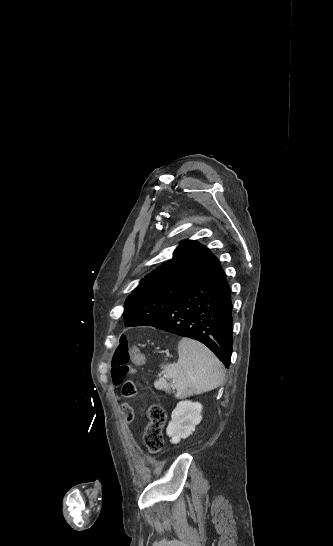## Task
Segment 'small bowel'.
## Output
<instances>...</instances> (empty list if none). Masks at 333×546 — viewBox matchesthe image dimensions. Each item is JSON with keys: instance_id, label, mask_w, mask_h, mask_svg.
Listing matches in <instances>:
<instances>
[{"instance_id": "obj_1", "label": "small bowel", "mask_w": 333, "mask_h": 546, "mask_svg": "<svg viewBox=\"0 0 333 546\" xmlns=\"http://www.w3.org/2000/svg\"><path fill=\"white\" fill-rule=\"evenodd\" d=\"M146 355L143 352V349L141 346H132L130 349V363L132 365H136V367L139 370H144L146 365ZM122 404L119 406L124 411V416L126 417L127 422H133L134 421V412L136 411L129 403H124L125 401L122 399L120 401Z\"/></svg>"}]
</instances>
